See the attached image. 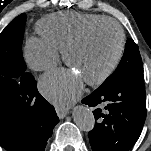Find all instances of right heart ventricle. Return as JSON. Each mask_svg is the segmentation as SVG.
Segmentation results:
<instances>
[{
  "mask_svg": "<svg viewBox=\"0 0 151 151\" xmlns=\"http://www.w3.org/2000/svg\"><path fill=\"white\" fill-rule=\"evenodd\" d=\"M107 18L102 15L62 12L43 17L36 26L41 38L62 50L65 44L93 22Z\"/></svg>",
  "mask_w": 151,
  "mask_h": 151,
  "instance_id": "e07e8e85",
  "label": "right heart ventricle"
}]
</instances>
